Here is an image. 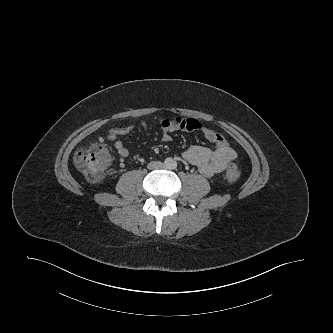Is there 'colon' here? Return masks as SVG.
Instances as JSON below:
<instances>
[{"instance_id": "colon-1", "label": "colon", "mask_w": 333, "mask_h": 333, "mask_svg": "<svg viewBox=\"0 0 333 333\" xmlns=\"http://www.w3.org/2000/svg\"><path fill=\"white\" fill-rule=\"evenodd\" d=\"M77 169L91 182L101 181L111 163V155L105 145L93 143L85 149L78 151L74 157ZM239 167L232 163L225 172V179L229 183L238 180Z\"/></svg>"}]
</instances>
